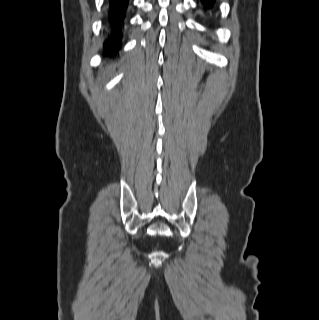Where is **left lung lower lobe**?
<instances>
[{
  "instance_id": "obj_1",
  "label": "left lung lower lobe",
  "mask_w": 319,
  "mask_h": 320,
  "mask_svg": "<svg viewBox=\"0 0 319 320\" xmlns=\"http://www.w3.org/2000/svg\"><path fill=\"white\" fill-rule=\"evenodd\" d=\"M204 9L212 8L214 6V0H201Z\"/></svg>"
}]
</instances>
